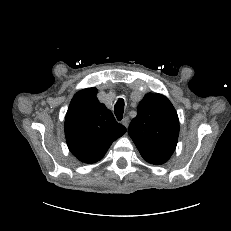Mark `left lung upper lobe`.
<instances>
[{
  "mask_svg": "<svg viewBox=\"0 0 231 231\" xmlns=\"http://www.w3.org/2000/svg\"><path fill=\"white\" fill-rule=\"evenodd\" d=\"M128 133L145 161L154 165L164 164L177 145V112L165 96L148 93L140 102Z\"/></svg>",
  "mask_w": 231,
  "mask_h": 231,
  "instance_id": "5c2ea615",
  "label": "left lung upper lobe"
}]
</instances>
